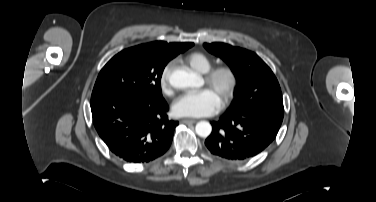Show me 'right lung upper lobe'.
Listing matches in <instances>:
<instances>
[{
  "mask_svg": "<svg viewBox=\"0 0 376 202\" xmlns=\"http://www.w3.org/2000/svg\"><path fill=\"white\" fill-rule=\"evenodd\" d=\"M187 44L193 43H167L164 41H155L147 44L139 45L141 46L148 56L152 59H158L162 56L170 54L172 51L177 50Z\"/></svg>",
  "mask_w": 376,
  "mask_h": 202,
  "instance_id": "1",
  "label": "right lung upper lobe"
}]
</instances>
